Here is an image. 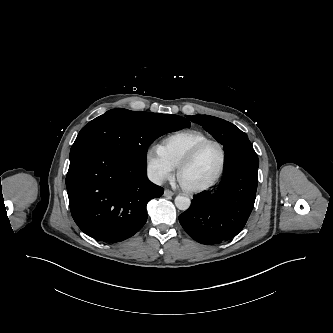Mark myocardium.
Wrapping results in <instances>:
<instances>
[{"instance_id": "myocardium-1", "label": "myocardium", "mask_w": 333, "mask_h": 333, "mask_svg": "<svg viewBox=\"0 0 333 333\" xmlns=\"http://www.w3.org/2000/svg\"><path fill=\"white\" fill-rule=\"evenodd\" d=\"M208 145H215L218 147L219 151H220V163L218 166L217 171L215 172L214 176L206 183L199 185V186H187L185 185L182 181H181V174L183 172V170L188 167L198 156V154L201 152V150L203 148H205ZM225 163H226V151L223 147V145L218 142L217 140H212V139H208L205 140L203 142H200L199 144H197L183 159L182 161L179 163L178 167H177V177L178 180L182 186V188L184 190H186L187 192L190 193H199V192H203L206 191L208 189H210L212 186H214L217 181L220 179V177L222 176V173L224 171L225 168Z\"/></svg>"}]
</instances>
